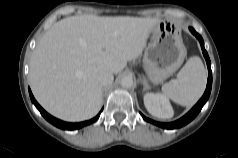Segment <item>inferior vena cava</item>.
I'll return each mask as SVG.
<instances>
[{
    "label": "inferior vena cava",
    "instance_id": "obj_1",
    "mask_svg": "<svg viewBox=\"0 0 238 158\" xmlns=\"http://www.w3.org/2000/svg\"><path fill=\"white\" fill-rule=\"evenodd\" d=\"M97 80L101 86H108L114 80L113 73L108 70H101L97 74Z\"/></svg>",
    "mask_w": 238,
    "mask_h": 158
}]
</instances>
